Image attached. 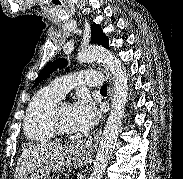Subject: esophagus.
Wrapping results in <instances>:
<instances>
[{"instance_id": "34e87169", "label": "esophagus", "mask_w": 183, "mask_h": 179, "mask_svg": "<svg viewBox=\"0 0 183 179\" xmlns=\"http://www.w3.org/2000/svg\"><path fill=\"white\" fill-rule=\"evenodd\" d=\"M106 72H107V75H108L109 80L111 82V74L108 71V69H106ZM100 136H101V130L98 129V130L94 131L93 133H91L86 138H84L83 140H81L78 143V146H80L84 150L92 152L94 149H96L98 142L100 140Z\"/></svg>"}]
</instances>
